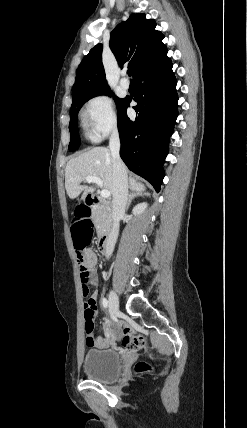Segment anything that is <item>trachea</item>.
Returning <instances> with one entry per match:
<instances>
[{"label":"trachea","mask_w":247,"mask_h":428,"mask_svg":"<svg viewBox=\"0 0 247 428\" xmlns=\"http://www.w3.org/2000/svg\"><path fill=\"white\" fill-rule=\"evenodd\" d=\"M127 73H128V75H129V76H131L132 71H131V70H128V71H127Z\"/></svg>","instance_id":"3493384b"}]
</instances>
